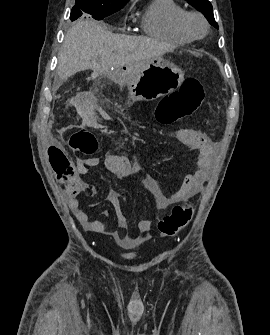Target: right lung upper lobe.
Here are the masks:
<instances>
[{"label":"right lung upper lobe","mask_w":270,"mask_h":335,"mask_svg":"<svg viewBox=\"0 0 270 335\" xmlns=\"http://www.w3.org/2000/svg\"><path fill=\"white\" fill-rule=\"evenodd\" d=\"M103 3H127L129 0H99Z\"/></svg>","instance_id":"obj_1"}]
</instances>
